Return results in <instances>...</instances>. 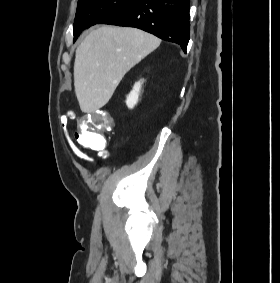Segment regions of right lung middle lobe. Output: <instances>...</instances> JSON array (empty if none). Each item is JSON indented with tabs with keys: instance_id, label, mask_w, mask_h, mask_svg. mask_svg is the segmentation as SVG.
<instances>
[{
	"instance_id": "1",
	"label": "right lung middle lobe",
	"mask_w": 280,
	"mask_h": 283,
	"mask_svg": "<svg viewBox=\"0 0 280 283\" xmlns=\"http://www.w3.org/2000/svg\"><path fill=\"white\" fill-rule=\"evenodd\" d=\"M133 0H79L73 25L74 42L80 33L92 25L99 24L113 12Z\"/></svg>"
}]
</instances>
